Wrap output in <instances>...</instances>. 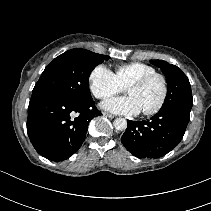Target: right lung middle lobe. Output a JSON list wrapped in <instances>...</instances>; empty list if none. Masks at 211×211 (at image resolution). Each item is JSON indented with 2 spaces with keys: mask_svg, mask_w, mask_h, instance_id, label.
<instances>
[{
  "mask_svg": "<svg viewBox=\"0 0 211 211\" xmlns=\"http://www.w3.org/2000/svg\"><path fill=\"white\" fill-rule=\"evenodd\" d=\"M108 58L85 49L68 50L45 68L32 96H57L80 103L90 101L89 76Z\"/></svg>",
  "mask_w": 211,
  "mask_h": 211,
  "instance_id": "obj_1",
  "label": "right lung middle lobe"
}]
</instances>
